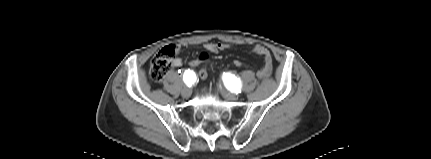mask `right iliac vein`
I'll return each instance as SVG.
<instances>
[{
  "mask_svg": "<svg viewBox=\"0 0 431 159\" xmlns=\"http://www.w3.org/2000/svg\"><path fill=\"white\" fill-rule=\"evenodd\" d=\"M181 95L184 98L190 97V95H191V89L189 87H187V86H184L183 89H182V91H181Z\"/></svg>",
  "mask_w": 431,
  "mask_h": 159,
  "instance_id": "1",
  "label": "right iliac vein"
}]
</instances>
